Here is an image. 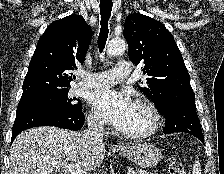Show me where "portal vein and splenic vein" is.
Masks as SVG:
<instances>
[{
    "instance_id": "portal-vein-and-splenic-vein-1",
    "label": "portal vein and splenic vein",
    "mask_w": 224,
    "mask_h": 174,
    "mask_svg": "<svg viewBox=\"0 0 224 174\" xmlns=\"http://www.w3.org/2000/svg\"><path fill=\"white\" fill-rule=\"evenodd\" d=\"M61 167L65 168L70 174H87L83 170L80 169L79 165H66L61 164ZM127 174H137L135 171L129 170Z\"/></svg>"
}]
</instances>
